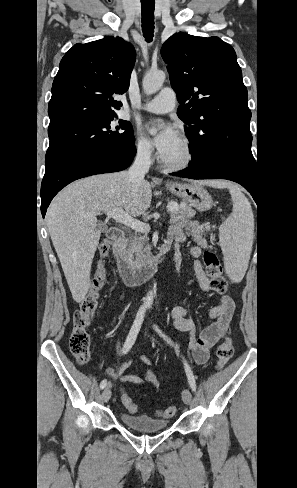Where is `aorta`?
Here are the masks:
<instances>
[{
    "label": "aorta",
    "instance_id": "aorta-1",
    "mask_svg": "<svg viewBox=\"0 0 297 488\" xmlns=\"http://www.w3.org/2000/svg\"><path fill=\"white\" fill-rule=\"evenodd\" d=\"M165 73L163 71H155V72H148L143 78V90L147 95L153 94L157 92L163 85L165 80ZM155 287L156 284L154 283L153 290H150L145 298H144V305L147 307L152 306L154 301L155 295Z\"/></svg>",
    "mask_w": 297,
    "mask_h": 488
}]
</instances>
